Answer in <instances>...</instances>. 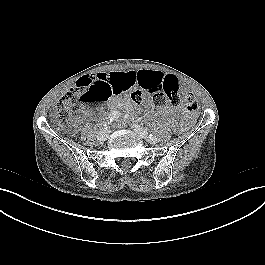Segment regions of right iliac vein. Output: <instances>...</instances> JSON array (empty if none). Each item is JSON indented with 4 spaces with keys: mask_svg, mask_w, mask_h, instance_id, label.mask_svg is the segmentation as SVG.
<instances>
[{
    "mask_svg": "<svg viewBox=\"0 0 265 265\" xmlns=\"http://www.w3.org/2000/svg\"><path fill=\"white\" fill-rule=\"evenodd\" d=\"M97 137L99 141H105L109 137V131L107 129H103L99 132Z\"/></svg>",
    "mask_w": 265,
    "mask_h": 265,
    "instance_id": "1",
    "label": "right iliac vein"
}]
</instances>
